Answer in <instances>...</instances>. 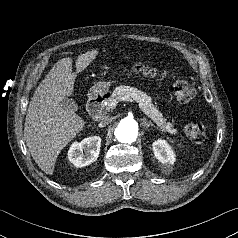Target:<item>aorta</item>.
<instances>
[{
	"label": "aorta",
	"mask_w": 238,
	"mask_h": 238,
	"mask_svg": "<svg viewBox=\"0 0 238 238\" xmlns=\"http://www.w3.org/2000/svg\"><path fill=\"white\" fill-rule=\"evenodd\" d=\"M114 134L119 142L131 144L137 139L138 124L131 117L124 118L118 124Z\"/></svg>",
	"instance_id": "1"
}]
</instances>
